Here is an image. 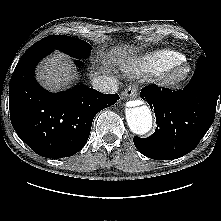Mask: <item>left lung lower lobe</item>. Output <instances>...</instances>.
<instances>
[{"label": "left lung lower lobe", "instance_id": "obj_1", "mask_svg": "<svg viewBox=\"0 0 221 221\" xmlns=\"http://www.w3.org/2000/svg\"><path fill=\"white\" fill-rule=\"evenodd\" d=\"M154 109L156 132L134 137V145L146 157L169 160L192 151L206 134L221 103V70L197 68L183 90L145 86L140 93Z\"/></svg>", "mask_w": 221, "mask_h": 221}]
</instances>
